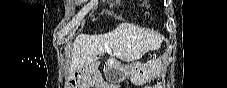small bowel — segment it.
Here are the masks:
<instances>
[{
  "instance_id": "small-bowel-1",
  "label": "small bowel",
  "mask_w": 227,
  "mask_h": 88,
  "mask_svg": "<svg viewBox=\"0 0 227 88\" xmlns=\"http://www.w3.org/2000/svg\"><path fill=\"white\" fill-rule=\"evenodd\" d=\"M101 87H103V88H111L113 86H111L110 84L103 83V84H101Z\"/></svg>"
}]
</instances>
